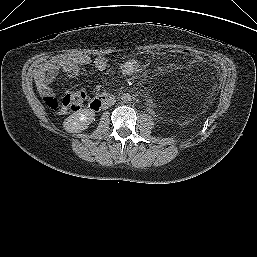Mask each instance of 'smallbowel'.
I'll list each match as a JSON object with an SVG mask.
<instances>
[{
  "instance_id": "c3829d8e",
  "label": "small bowel",
  "mask_w": 257,
  "mask_h": 257,
  "mask_svg": "<svg viewBox=\"0 0 257 257\" xmlns=\"http://www.w3.org/2000/svg\"><path fill=\"white\" fill-rule=\"evenodd\" d=\"M93 63L99 71H104L108 67V59L104 56H97L92 59L87 54H73L69 56H57L42 63L35 73V82L39 93L44 99L52 97L53 92L50 84L60 73H65L68 77H76L80 67ZM65 108L58 113L64 114Z\"/></svg>"
}]
</instances>
